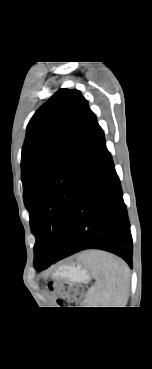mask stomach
<instances>
[{"label": "stomach", "instance_id": "stomach-1", "mask_svg": "<svg viewBox=\"0 0 152 369\" xmlns=\"http://www.w3.org/2000/svg\"><path fill=\"white\" fill-rule=\"evenodd\" d=\"M63 274L64 276L69 278L72 282H86L89 280V275L87 271L83 269L81 266L68 267L66 268V271Z\"/></svg>", "mask_w": 152, "mask_h": 369}]
</instances>
